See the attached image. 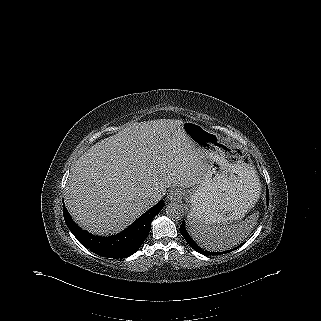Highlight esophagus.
Instances as JSON below:
<instances>
[{
  "instance_id": "esophagus-1",
  "label": "esophagus",
  "mask_w": 321,
  "mask_h": 321,
  "mask_svg": "<svg viewBox=\"0 0 321 321\" xmlns=\"http://www.w3.org/2000/svg\"><path fill=\"white\" fill-rule=\"evenodd\" d=\"M182 198V192L180 190H172L168 196L167 199L169 201H178Z\"/></svg>"
}]
</instances>
